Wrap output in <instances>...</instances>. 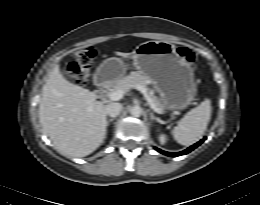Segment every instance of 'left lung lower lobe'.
<instances>
[{
    "instance_id": "obj_1",
    "label": "left lung lower lobe",
    "mask_w": 260,
    "mask_h": 205,
    "mask_svg": "<svg viewBox=\"0 0 260 205\" xmlns=\"http://www.w3.org/2000/svg\"><path fill=\"white\" fill-rule=\"evenodd\" d=\"M204 139H206V137H205ZM204 139L201 140V141H199L198 143L192 145V146L189 147L188 149H186V150H184V151H181V152H174V153H172V152H166V151L160 150V149H158V148H155V149H156L158 152H160V153H162V154H164V155H167V156H170V157H176V156H180V155H184V154L189 153V152L192 151L194 148H196L197 146H199V145L204 141Z\"/></svg>"
}]
</instances>
